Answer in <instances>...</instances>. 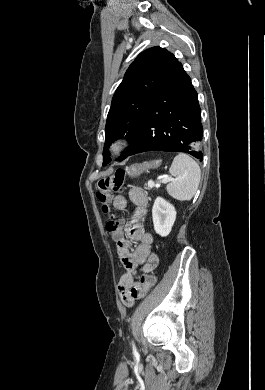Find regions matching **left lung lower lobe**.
<instances>
[{"label": "left lung lower lobe", "instance_id": "left-lung-lower-lobe-1", "mask_svg": "<svg viewBox=\"0 0 265 390\" xmlns=\"http://www.w3.org/2000/svg\"><path fill=\"white\" fill-rule=\"evenodd\" d=\"M197 92L177 63L149 104L128 156L147 151L183 152L203 160Z\"/></svg>", "mask_w": 265, "mask_h": 390}]
</instances>
